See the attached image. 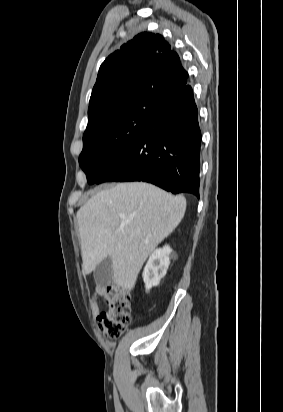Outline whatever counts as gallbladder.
<instances>
[{
    "mask_svg": "<svg viewBox=\"0 0 283 412\" xmlns=\"http://www.w3.org/2000/svg\"><path fill=\"white\" fill-rule=\"evenodd\" d=\"M113 278V264L109 256L102 260L94 269V280L100 287L108 285Z\"/></svg>",
    "mask_w": 283,
    "mask_h": 412,
    "instance_id": "obj_1",
    "label": "gallbladder"
}]
</instances>
